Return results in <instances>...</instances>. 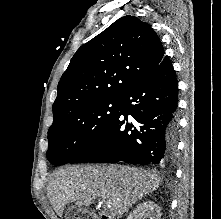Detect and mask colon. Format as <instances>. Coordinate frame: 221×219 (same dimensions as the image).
I'll return each instance as SVG.
<instances>
[{
	"label": "colon",
	"instance_id": "obj_1",
	"mask_svg": "<svg viewBox=\"0 0 221 219\" xmlns=\"http://www.w3.org/2000/svg\"><path fill=\"white\" fill-rule=\"evenodd\" d=\"M66 219H96V215L90 210L72 207L67 210Z\"/></svg>",
	"mask_w": 221,
	"mask_h": 219
}]
</instances>
